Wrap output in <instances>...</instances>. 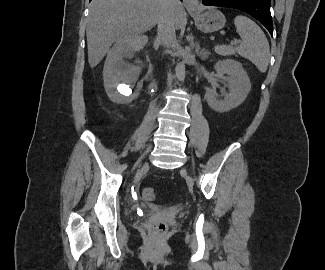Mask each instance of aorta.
<instances>
[{"label": "aorta", "instance_id": "762f6f07", "mask_svg": "<svg viewBox=\"0 0 325 270\" xmlns=\"http://www.w3.org/2000/svg\"><path fill=\"white\" fill-rule=\"evenodd\" d=\"M175 74L178 80L184 81L185 79V62H179L175 68Z\"/></svg>", "mask_w": 325, "mask_h": 270}]
</instances>
